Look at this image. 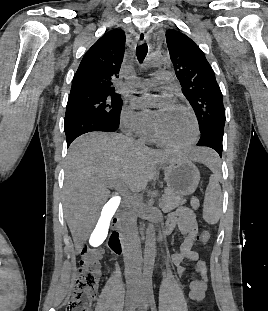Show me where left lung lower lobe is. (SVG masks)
<instances>
[{"mask_svg":"<svg viewBox=\"0 0 268 311\" xmlns=\"http://www.w3.org/2000/svg\"><path fill=\"white\" fill-rule=\"evenodd\" d=\"M222 141H223V132L222 131H214L208 132L204 135H201L198 146L204 145L205 147L213 148L220 157H222Z\"/></svg>","mask_w":268,"mask_h":311,"instance_id":"left-lung-lower-lobe-1","label":"left lung lower lobe"}]
</instances>
